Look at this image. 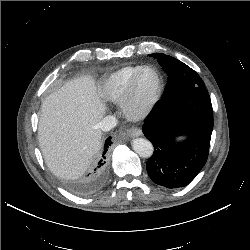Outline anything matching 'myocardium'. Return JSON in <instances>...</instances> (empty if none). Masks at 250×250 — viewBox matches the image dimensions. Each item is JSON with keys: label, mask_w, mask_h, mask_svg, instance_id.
Segmentation results:
<instances>
[{"label": "myocardium", "mask_w": 250, "mask_h": 250, "mask_svg": "<svg viewBox=\"0 0 250 250\" xmlns=\"http://www.w3.org/2000/svg\"><path fill=\"white\" fill-rule=\"evenodd\" d=\"M146 71H152L155 74L157 84L152 96L147 101V103L143 107L137 109L134 107L135 93L138 83ZM162 90H163V81L158 70L151 66L143 67L132 79L125 94L123 95L120 101L121 110L125 118L133 122H140L145 120L157 106L162 95Z\"/></svg>", "instance_id": "f54148a6"}]
</instances>
